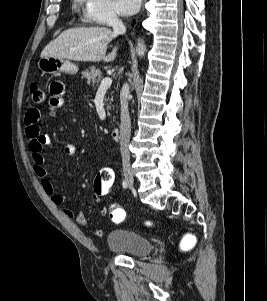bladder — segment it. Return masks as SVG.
<instances>
[{
  "mask_svg": "<svg viewBox=\"0 0 267 301\" xmlns=\"http://www.w3.org/2000/svg\"><path fill=\"white\" fill-rule=\"evenodd\" d=\"M106 242L109 249L134 257L145 256L153 251L150 240L130 230H112Z\"/></svg>",
  "mask_w": 267,
  "mask_h": 301,
  "instance_id": "bladder-1",
  "label": "bladder"
}]
</instances>
